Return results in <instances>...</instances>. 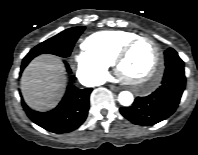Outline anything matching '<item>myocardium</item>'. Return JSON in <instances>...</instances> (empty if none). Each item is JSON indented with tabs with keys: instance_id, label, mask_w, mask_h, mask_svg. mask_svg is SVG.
Wrapping results in <instances>:
<instances>
[{
	"instance_id": "obj_1",
	"label": "myocardium",
	"mask_w": 198,
	"mask_h": 155,
	"mask_svg": "<svg viewBox=\"0 0 198 155\" xmlns=\"http://www.w3.org/2000/svg\"><path fill=\"white\" fill-rule=\"evenodd\" d=\"M140 41H149L150 43H152L156 52V59H155L154 66L150 74L148 75V77L142 82H135L122 75L121 70H120V65L122 61L127 57L131 49ZM163 61H164L163 52L158 42L152 37L138 35L130 39L129 41H127L119 49V51L114 56L113 65H114L117 76L123 83L131 86L137 92L146 93V92L152 91L158 85L160 78H161Z\"/></svg>"
}]
</instances>
